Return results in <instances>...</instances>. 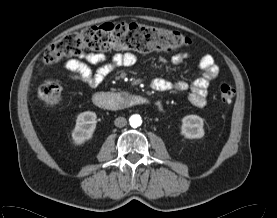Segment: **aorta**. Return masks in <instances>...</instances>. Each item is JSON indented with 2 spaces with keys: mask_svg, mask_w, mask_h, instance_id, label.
<instances>
[{
  "mask_svg": "<svg viewBox=\"0 0 277 218\" xmlns=\"http://www.w3.org/2000/svg\"><path fill=\"white\" fill-rule=\"evenodd\" d=\"M129 123L131 127L136 128L142 124L141 116L138 114H134L129 118Z\"/></svg>",
  "mask_w": 277,
  "mask_h": 218,
  "instance_id": "obj_1",
  "label": "aorta"
}]
</instances>
